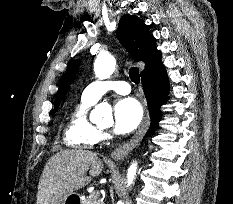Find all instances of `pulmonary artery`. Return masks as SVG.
Returning a JSON list of instances; mask_svg holds the SVG:
<instances>
[{"label": "pulmonary artery", "instance_id": "e3ab8cb5", "mask_svg": "<svg viewBox=\"0 0 233 204\" xmlns=\"http://www.w3.org/2000/svg\"><path fill=\"white\" fill-rule=\"evenodd\" d=\"M108 91H115L118 94L126 95L131 91L130 85L125 81H94L83 91L82 96L89 101L96 102Z\"/></svg>", "mask_w": 233, "mask_h": 204}]
</instances>
